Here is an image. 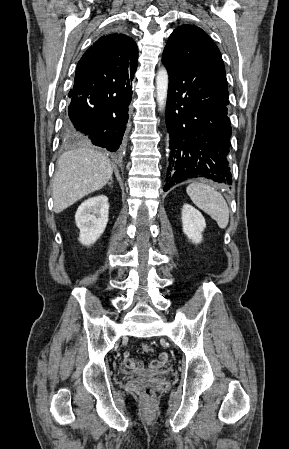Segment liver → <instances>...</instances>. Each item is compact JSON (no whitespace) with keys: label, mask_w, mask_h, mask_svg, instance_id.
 I'll list each match as a JSON object with an SVG mask.
<instances>
[{"label":"liver","mask_w":289,"mask_h":449,"mask_svg":"<svg viewBox=\"0 0 289 449\" xmlns=\"http://www.w3.org/2000/svg\"><path fill=\"white\" fill-rule=\"evenodd\" d=\"M57 167L53 179L55 213L103 188L113 174L110 160L89 147L63 153Z\"/></svg>","instance_id":"6515ba94"}]
</instances>
